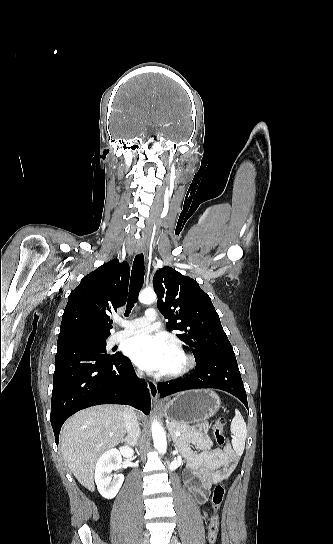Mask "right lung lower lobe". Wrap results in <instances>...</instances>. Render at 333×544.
I'll return each mask as SVG.
<instances>
[{
	"instance_id": "98d812e1",
	"label": "right lung lower lobe",
	"mask_w": 333,
	"mask_h": 544,
	"mask_svg": "<svg viewBox=\"0 0 333 544\" xmlns=\"http://www.w3.org/2000/svg\"><path fill=\"white\" fill-rule=\"evenodd\" d=\"M100 404H128L149 414L151 399L147 384L121 353L104 358L87 342L57 348L50 414L56 444L68 417Z\"/></svg>"
}]
</instances>
